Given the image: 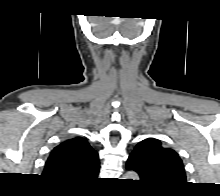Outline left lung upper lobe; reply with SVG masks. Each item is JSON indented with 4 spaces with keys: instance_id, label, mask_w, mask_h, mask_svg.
I'll use <instances>...</instances> for the list:
<instances>
[{
    "instance_id": "1",
    "label": "left lung upper lobe",
    "mask_w": 220,
    "mask_h": 196,
    "mask_svg": "<svg viewBox=\"0 0 220 196\" xmlns=\"http://www.w3.org/2000/svg\"><path fill=\"white\" fill-rule=\"evenodd\" d=\"M126 166L136 171L141 181L155 190L165 192L186 183L184 166L178 154L163 147L155 138L138 143Z\"/></svg>"
}]
</instances>
